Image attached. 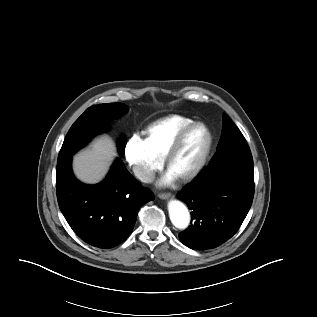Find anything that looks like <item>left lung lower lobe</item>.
<instances>
[{
  "instance_id": "1",
  "label": "left lung lower lobe",
  "mask_w": 317,
  "mask_h": 317,
  "mask_svg": "<svg viewBox=\"0 0 317 317\" xmlns=\"http://www.w3.org/2000/svg\"><path fill=\"white\" fill-rule=\"evenodd\" d=\"M192 210L191 224L179 234L191 249H213L230 239L244 221L254 197L252 163L230 160L209 165L177 193Z\"/></svg>"
}]
</instances>
